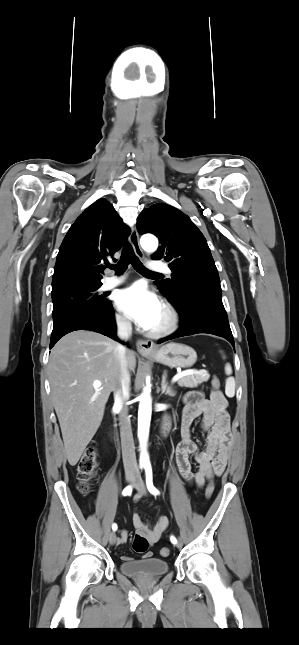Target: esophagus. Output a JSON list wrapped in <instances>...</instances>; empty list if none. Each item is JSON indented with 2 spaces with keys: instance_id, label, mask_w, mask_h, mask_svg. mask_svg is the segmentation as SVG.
Returning a JSON list of instances; mask_svg holds the SVG:
<instances>
[{
  "instance_id": "obj_1",
  "label": "esophagus",
  "mask_w": 299,
  "mask_h": 645,
  "mask_svg": "<svg viewBox=\"0 0 299 645\" xmlns=\"http://www.w3.org/2000/svg\"><path fill=\"white\" fill-rule=\"evenodd\" d=\"M129 241H130L135 253L138 256L142 257L143 256V251H142V249L140 247L139 235H138V232H137L135 227L132 228V231H131V234H130V237H129ZM136 346H137L138 352L140 354H142V355L152 354V353H154L156 351L154 343L152 341H150V340L139 339L137 341V343H136Z\"/></svg>"
}]
</instances>
